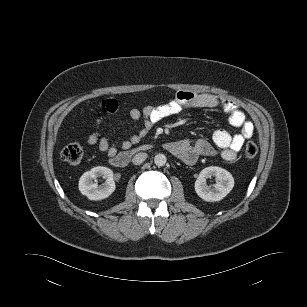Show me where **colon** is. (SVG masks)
I'll return each mask as SVG.
<instances>
[{
  "mask_svg": "<svg viewBox=\"0 0 307 307\" xmlns=\"http://www.w3.org/2000/svg\"><path fill=\"white\" fill-rule=\"evenodd\" d=\"M247 158H254L258 153V147L254 142H248L244 149ZM83 157V149L77 143L66 145L61 151V158L69 164H78Z\"/></svg>",
  "mask_w": 307,
  "mask_h": 307,
  "instance_id": "obj_1",
  "label": "colon"
}]
</instances>
